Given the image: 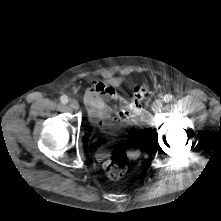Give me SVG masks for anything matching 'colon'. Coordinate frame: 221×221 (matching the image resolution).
I'll list each match as a JSON object with an SVG mask.
<instances>
[{"instance_id":"colon-1","label":"colon","mask_w":221,"mask_h":221,"mask_svg":"<svg viewBox=\"0 0 221 221\" xmlns=\"http://www.w3.org/2000/svg\"><path fill=\"white\" fill-rule=\"evenodd\" d=\"M149 93L147 85H138L134 88L133 98L129 104V110L133 113H140L141 104L146 99ZM129 165V156L124 149L117 148L109 156L104 163V170L108 178L117 180L121 178Z\"/></svg>"}]
</instances>
